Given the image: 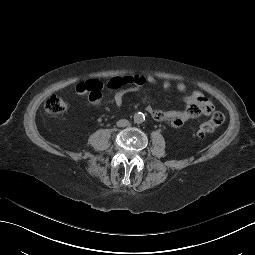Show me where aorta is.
Here are the masks:
<instances>
[{"mask_svg":"<svg viewBox=\"0 0 255 255\" xmlns=\"http://www.w3.org/2000/svg\"><path fill=\"white\" fill-rule=\"evenodd\" d=\"M145 120V115L141 112H137L134 114V122L137 124H140L142 122H144Z\"/></svg>","mask_w":255,"mask_h":255,"instance_id":"762f6f07","label":"aorta"}]
</instances>
